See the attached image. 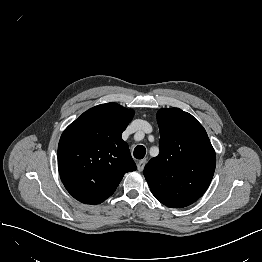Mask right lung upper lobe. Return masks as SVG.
I'll list each match as a JSON object with an SVG mask.
<instances>
[{"label": "right lung upper lobe", "instance_id": "1", "mask_svg": "<svg viewBox=\"0 0 262 262\" xmlns=\"http://www.w3.org/2000/svg\"><path fill=\"white\" fill-rule=\"evenodd\" d=\"M134 116L116 103L84 112L63 132L58 145V169L68 192L85 204L111 196L127 172L136 170L121 134Z\"/></svg>", "mask_w": 262, "mask_h": 262}]
</instances>
